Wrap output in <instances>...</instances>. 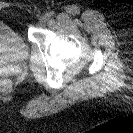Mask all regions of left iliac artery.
<instances>
[{
    "label": "left iliac artery",
    "instance_id": "left-iliac-artery-1",
    "mask_svg": "<svg viewBox=\"0 0 133 133\" xmlns=\"http://www.w3.org/2000/svg\"><path fill=\"white\" fill-rule=\"evenodd\" d=\"M54 14V12H50L49 14H47L48 17L52 16Z\"/></svg>",
    "mask_w": 133,
    "mask_h": 133
}]
</instances>
